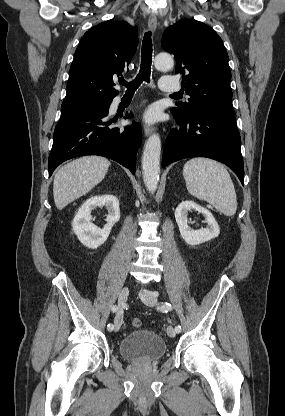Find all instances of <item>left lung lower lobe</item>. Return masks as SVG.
<instances>
[{
    "mask_svg": "<svg viewBox=\"0 0 285 416\" xmlns=\"http://www.w3.org/2000/svg\"><path fill=\"white\" fill-rule=\"evenodd\" d=\"M176 122L165 143L163 168L184 158L207 157L226 164L244 185L241 138L233 112H198Z\"/></svg>",
    "mask_w": 285,
    "mask_h": 416,
    "instance_id": "left-lung-lower-lobe-1",
    "label": "left lung lower lobe"
}]
</instances>
